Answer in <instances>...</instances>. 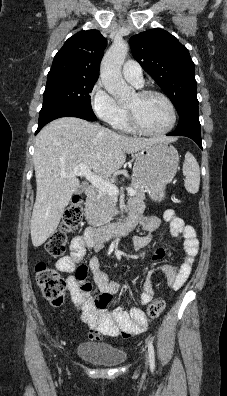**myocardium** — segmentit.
Segmentation results:
<instances>
[{"label": "myocardium", "mask_w": 227, "mask_h": 396, "mask_svg": "<svg viewBox=\"0 0 227 396\" xmlns=\"http://www.w3.org/2000/svg\"><path fill=\"white\" fill-rule=\"evenodd\" d=\"M137 94L140 97L156 95V96H159L160 98H162L170 110L171 118H170L169 124L164 129L158 130V131H151V130L144 128L140 124L135 112L131 108L126 107L128 121H129V124L132 127V129L140 134L147 135V136H162V135L169 133L175 127V124L177 121V111H176V107H175L174 103L172 102V100L165 93L155 90V89H143V90H140Z\"/></svg>", "instance_id": "myocardium-1"}]
</instances>
